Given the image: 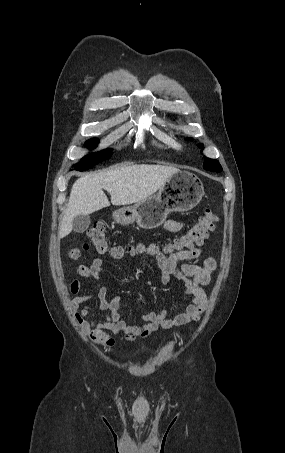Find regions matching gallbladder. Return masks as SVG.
<instances>
[{
	"instance_id": "obj_1",
	"label": "gallbladder",
	"mask_w": 285,
	"mask_h": 453,
	"mask_svg": "<svg viewBox=\"0 0 285 453\" xmlns=\"http://www.w3.org/2000/svg\"><path fill=\"white\" fill-rule=\"evenodd\" d=\"M90 222L89 215H77L72 222L73 230L77 233H83L88 229Z\"/></svg>"
}]
</instances>
